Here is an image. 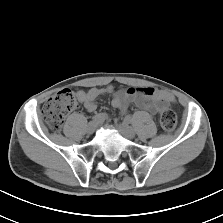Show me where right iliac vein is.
Wrapping results in <instances>:
<instances>
[{
  "instance_id": "63e3f726",
  "label": "right iliac vein",
  "mask_w": 223,
  "mask_h": 223,
  "mask_svg": "<svg viewBox=\"0 0 223 223\" xmlns=\"http://www.w3.org/2000/svg\"><path fill=\"white\" fill-rule=\"evenodd\" d=\"M96 126H97V124H96V122H90L88 125H87V127H86V132L88 133V134H92V133H94V131H95V129H96Z\"/></svg>"
}]
</instances>
